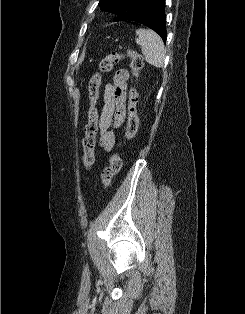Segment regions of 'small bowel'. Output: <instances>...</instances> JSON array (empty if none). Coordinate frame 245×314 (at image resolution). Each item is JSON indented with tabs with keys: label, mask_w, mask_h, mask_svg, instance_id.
Listing matches in <instances>:
<instances>
[{
	"label": "small bowel",
	"mask_w": 245,
	"mask_h": 314,
	"mask_svg": "<svg viewBox=\"0 0 245 314\" xmlns=\"http://www.w3.org/2000/svg\"><path fill=\"white\" fill-rule=\"evenodd\" d=\"M129 72L117 70L112 82L104 87V105L97 124L99 129V144L105 151H111L116 144L114 130L122 128L126 116V91ZM113 128L114 130L110 129Z\"/></svg>",
	"instance_id": "c3829d8e"
}]
</instances>
